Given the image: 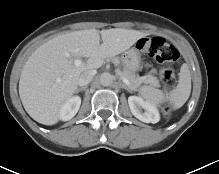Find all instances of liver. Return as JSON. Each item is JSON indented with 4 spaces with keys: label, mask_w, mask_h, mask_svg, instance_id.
I'll use <instances>...</instances> for the list:
<instances>
[{
    "label": "liver",
    "mask_w": 219,
    "mask_h": 174,
    "mask_svg": "<svg viewBox=\"0 0 219 174\" xmlns=\"http://www.w3.org/2000/svg\"><path fill=\"white\" fill-rule=\"evenodd\" d=\"M143 36L123 28L87 29L48 40L31 54L21 72L19 95L26 112L41 124H56L62 106L77 90L80 75L100 68L106 58L124 52ZM81 57L88 58L86 63L75 65L73 59Z\"/></svg>",
    "instance_id": "1"
}]
</instances>
